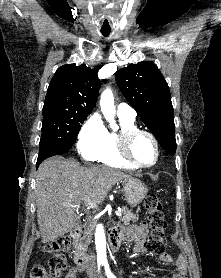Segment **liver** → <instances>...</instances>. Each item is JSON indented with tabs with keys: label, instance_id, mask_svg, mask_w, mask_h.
I'll list each match as a JSON object with an SVG mask.
<instances>
[{
	"label": "liver",
	"instance_id": "1",
	"mask_svg": "<svg viewBox=\"0 0 221 278\" xmlns=\"http://www.w3.org/2000/svg\"><path fill=\"white\" fill-rule=\"evenodd\" d=\"M130 177L109 167H83L74 159L60 156L42 162L35 188L42 242L54 241L75 228V209L84 200L101 203L117 182Z\"/></svg>",
	"mask_w": 221,
	"mask_h": 278
}]
</instances>
